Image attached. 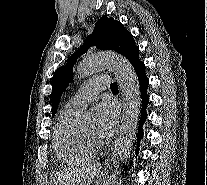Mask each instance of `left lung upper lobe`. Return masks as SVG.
Masks as SVG:
<instances>
[{
	"label": "left lung upper lobe",
	"instance_id": "obj_1",
	"mask_svg": "<svg viewBox=\"0 0 207 185\" xmlns=\"http://www.w3.org/2000/svg\"><path fill=\"white\" fill-rule=\"evenodd\" d=\"M93 45H96L97 49L112 50L125 56L134 69L142 64L139 59V47L135 45L132 34L124 28L120 21L102 16L96 22L93 33L86 38L82 47L71 55L66 65L58 68L52 77L53 116L57 111L62 92L73 79V66L77 58Z\"/></svg>",
	"mask_w": 207,
	"mask_h": 185
}]
</instances>
